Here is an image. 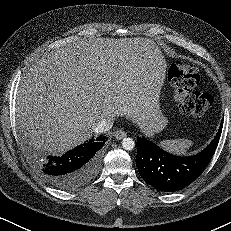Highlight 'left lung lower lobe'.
I'll return each mask as SVG.
<instances>
[{
  "instance_id": "obj_1",
  "label": "left lung lower lobe",
  "mask_w": 231,
  "mask_h": 231,
  "mask_svg": "<svg viewBox=\"0 0 231 231\" xmlns=\"http://www.w3.org/2000/svg\"><path fill=\"white\" fill-rule=\"evenodd\" d=\"M223 121L212 142L196 155L170 154L144 137L137 138L136 166L141 177L159 191L175 192L194 182L210 162L219 142Z\"/></svg>"
}]
</instances>
